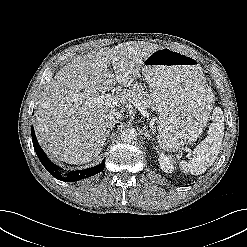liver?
<instances>
[{
	"instance_id": "obj_1",
	"label": "liver",
	"mask_w": 247,
	"mask_h": 247,
	"mask_svg": "<svg viewBox=\"0 0 247 247\" xmlns=\"http://www.w3.org/2000/svg\"><path fill=\"white\" fill-rule=\"evenodd\" d=\"M160 48L131 41L75 57L42 91L34 124L39 144L68 164H85L97 158L106 141L105 117L119 111L98 105L94 98L116 83L130 87L140 77L144 59ZM128 94L124 89L115 96L118 106L127 102Z\"/></svg>"
}]
</instances>
